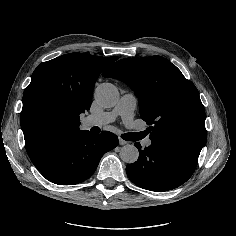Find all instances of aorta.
Here are the masks:
<instances>
[{
  "label": "aorta",
  "mask_w": 236,
  "mask_h": 236,
  "mask_svg": "<svg viewBox=\"0 0 236 236\" xmlns=\"http://www.w3.org/2000/svg\"><path fill=\"white\" fill-rule=\"evenodd\" d=\"M95 99L105 108L114 106L119 100V92L111 83L100 84L95 91ZM120 158L125 163H134L138 160L139 151L134 145H125L120 150Z\"/></svg>",
  "instance_id": "aorta-1"
}]
</instances>
